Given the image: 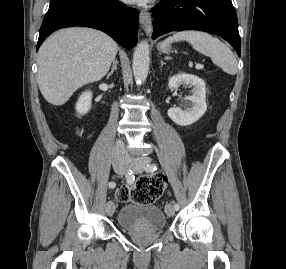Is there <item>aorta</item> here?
<instances>
[{
	"mask_svg": "<svg viewBox=\"0 0 286 269\" xmlns=\"http://www.w3.org/2000/svg\"><path fill=\"white\" fill-rule=\"evenodd\" d=\"M149 44L147 41H141L133 55V74L137 83L145 81L149 69Z\"/></svg>",
	"mask_w": 286,
	"mask_h": 269,
	"instance_id": "762f6f07",
	"label": "aorta"
}]
</instances>
